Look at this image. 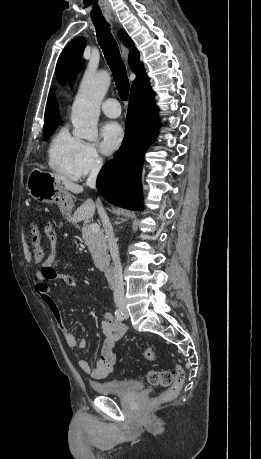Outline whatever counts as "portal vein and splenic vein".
<instances>
[{
	"label": "portal vein and splenic vein",
	"mask_w": 261,
	"mask_h": 459,
	"mask_svg": "<svg viewBox=\"0 0 261 459\" xmlns=\"http://www.w3.org/2000/svg\"><path fill=\"white\" fill-rule=\"evenodd\" d=\"M89 227H90V229L92 230V232H94V233H97V232H99V231H100V227H99V225H98V224H96V223H92V224H90V226H89Z\"/></svg>",
	"instance_id": "18ae733b"
}]
</instances>
